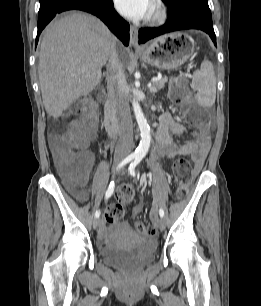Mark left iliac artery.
I'll list each match as a JSON object with an SVG mask.
<instances>
[{
    "mask_svg": "<svg viewBox=\"0 0 261 306\" xmlns=\"http://www.w3.org/2000/svg\"><path fill=\"white\" fill-rule=\"evenodd\" d=\"M141 161V158H136L129 166L128 170L131 176H135V167L138 165V163ZM159 215L161 218L164 217V210L162 208L159 209Z\"/></svg>",
    "mask_w": 261,
    "mask_h": 306,
    "instance_id": "1",
    "label": "left iliac artery"
}]
</instances>
